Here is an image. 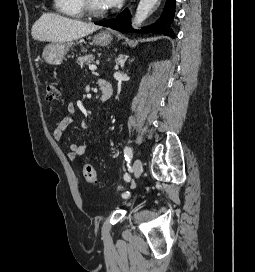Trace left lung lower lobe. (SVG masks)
I'll return each mask as SVG.
<instances>
[{"label":"left lung lower lobe","mask_w":255,"mask_h":272,"mask_svg":"<svg viewBox=\"0 0 255 272\" xmlns=\"http://www.w3.org/2000/svg\"><path fill=\"white\" fill-rule=\"evenodd\" d=\"M175 12V0H166V4L161 15V18L152 26L142 28L141 30H133L130 25V14L128 9H125L120 13L116 18L96 22L95 24L110 27L112 29L121 31V32H138V33H154V34H164L174 38V32L171 28L167 27V24H171L173 21Z\"/></svg>","instance_id":"left-lung-lower-lobe-1"}]
</instances>
